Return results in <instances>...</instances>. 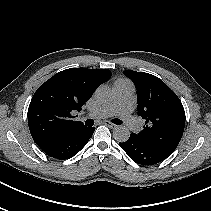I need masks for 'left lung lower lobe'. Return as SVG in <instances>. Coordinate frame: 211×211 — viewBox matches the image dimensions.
Masks as SVG:
<instances>
[{
	"instance_id": "obj_1",
	"label": "left lung lower lobe",
	"mask_w": 211,
	"mask_h": 211,
	"mask_svg": "<svg viewBox=\"0 0 211 211\" xmlns=\"http://www.w3.org/2000/svg\"><path fill=\"white\" fill-rule=\"evenodd\" d=\"M119 145L134 162L140 165H154L167 158L144 144L135 133H132L127 141L119 143Z\"/></svg>"
}]
</instances>
